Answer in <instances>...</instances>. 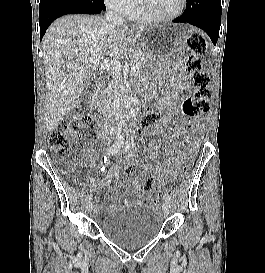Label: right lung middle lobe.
<instances>
[{
    "mask_svg": "<svg viewBox=\"0 0 265 273\" xmlns=\"http://www.w3.org/2000/svg\"><path fill=\"white\" fill-rule=\"evenodd\" d=\"M73 1H77L79 3H88V2H93V3H96L97 5L105 8V5H104V1L103 0H73Z\"/></svg>",
    "mask_w": 265,
    "mask_h": 273,
    "instance_id": "1",
    "label": "right lung middle lobe"
}]
</instances>
